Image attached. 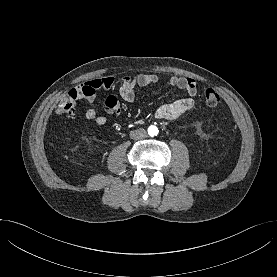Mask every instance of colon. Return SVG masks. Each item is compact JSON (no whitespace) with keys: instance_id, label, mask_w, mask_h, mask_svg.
Returning <instances> with one entry per match:
<instances>
[{"instance_id":"obj_1","label":"colon","mask_w":277,"mask_h":277,"mask_svg":"<svg viewBox=\"0 0 277 277\" xmlns=\"http://www.w3.org/2000/svg\"><path fill=\"white\" fill-rule=\"evenodd\" d=\"M83 91L80 88L69 91L58 103L56 112L58 114L72 115L76 111L77 100L81 97ZM205 102L209 106H217L220 102V96L214 89H207L204 93Z\"/></svg>"}]
</instances>
